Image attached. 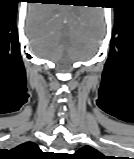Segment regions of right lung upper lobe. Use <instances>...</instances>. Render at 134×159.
I'll list each match as a JSON object with an SVG mask.
<instances>
[{
    "mask_svg": "<svg viewBox=\"0 0 134 159\" xmlns=\"http://www.w3.org/2000/svg\"><path fill=\"white\" fill-rule=\"evenodd\" d=\"M14 150L24 156L23 159H33L40 152L39 147L32 142L23 143Z\"/></svg>",
    "mask_w": 134,
    "mask_h": 159,
    "instance_id": "obj_1",
    "label": "right lung upper lobe"
}]
</instances>
